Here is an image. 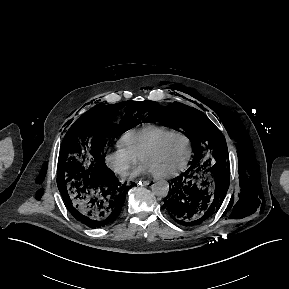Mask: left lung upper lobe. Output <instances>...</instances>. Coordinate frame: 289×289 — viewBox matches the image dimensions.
<instances>
[{
	"label": "left lung upper lobe",
	"instance_id": "obj_1",
	"mask_svg": "<svg viewBox=\"0 0 289 289\" xmlns=\"http://www.w3.org/2000/svg\"><path fill=\"white\" fill-rule=\"evenodd\" d=\"M140 118L143 122H159L163 126L185 131L194 144L195 157L191 164L216 168L228 166V151L223 134L197 109L176 102L161 106L157 102L147 101L142 103Z\"/></svg>",
	"mask_w": 289,
	"mask_h": 289
}]
</instances>
